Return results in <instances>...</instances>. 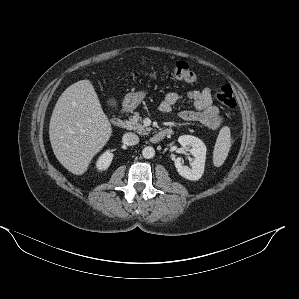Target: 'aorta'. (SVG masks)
I'll return each instance as SVG.
<instances>
[{"label": "aorta", "instance_id": "1", "mask_svg": "<svg viewBox=\"0 0 299 299\" xmlns=\"http://www.w3.org/2000/svg\"><path fill=\"white\" fill-rule=\"evenodd\" d=\"M142 155L145 159H151L155 156V150L151 146H147L142 150Z\"/></svg>", "mask_w": 299, "mask_h": 299}]
</instances>
